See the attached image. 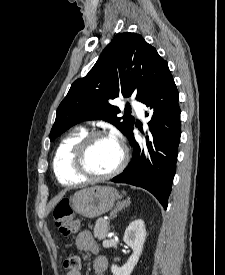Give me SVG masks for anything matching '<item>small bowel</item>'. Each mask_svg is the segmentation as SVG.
Returning <instances> with one entry per match:
<instances>
[{
  "mask_svg": "<svg viewBox=\"0 0 225 275\" xmlns=\"http://www.w3.org/2000/svg\"><path fill=\"white\" fill-rule=\"evenodd\" d=\"M75 245L78 250L94 256L92 265L94 274L105 275L108 261L104 256L98 255V246L92 234L88 231L80 232L75 240ZM66 275H81V272L68 271Z\"/></svg>",
  "mask_w": 225,
  "mask_h": 275,
  "instance_id": "1",
  "label": "small bowel"
}]
</instances>
